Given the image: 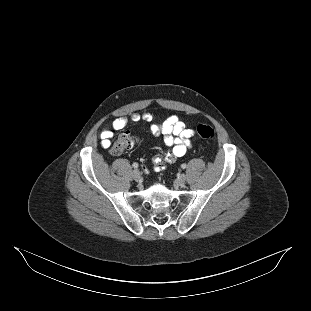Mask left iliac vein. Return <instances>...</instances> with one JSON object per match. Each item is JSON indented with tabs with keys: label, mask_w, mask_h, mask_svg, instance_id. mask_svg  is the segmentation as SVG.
<instances>
[{
	"label": "left iliac vein",
	"mask_w": 311,
	"mask_h": 311,
	"mask_svg": "<svg viewBox=\"0 0 311 311\" xmlns=\"http://www.w3.org/2000/svg\"><path fill=\"white\" fill-rule=\"evenodd\" d=\"M186 182V175L184 174H181L179 177H177L175 183L178 185V186H183Z\"/></svg>",
	"instance_id": "obj_1"
}]
</instances>
